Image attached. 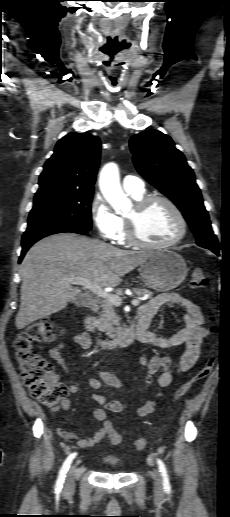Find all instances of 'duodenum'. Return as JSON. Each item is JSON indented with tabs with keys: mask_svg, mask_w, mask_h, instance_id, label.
I'll return each mask as SVG.
<instances>
[{
	"mask_svg": "<svg viewBox=\"0 0 230 517\" xmlns=\"http://www.w3.org/2000/svg\"><path fill=\"white\" fill-rule=\"evenodd\" d=\"M89 310L90 313L84 318L85 329L94 337L95 343L101 349L106 350L127 347L137 340L141 341L153 317V313L139 310L137 316L127 328L114 337L102 338L97 334L94 324V314L99 311V304L92 303Z\"/></svg>",
	"mask_w": 230,
	"mask_h": 517,
	"instance_id": "duodenum-1",
	"label": "duodenum"
}]
</instances>
